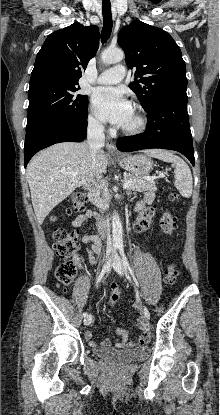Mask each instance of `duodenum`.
<instances>
[{
    "label": "duodenum",
    "mask_w": 220,
    "mask_h": 415,
    "mask_svg": "<svg viewBox=\"0 0 220 415\" xmlns=\"http://www.w3.org/2000/svg\"><path fill=\"white\" fill-rule=\"evenodd\" d=\"M85 190L88 192L89 195L93 196L96 193L97 186L96 184H90L85 187ZM97 226L99 230V237L104 239L109 234V228L106 220L104 218H98Z\"/></svg>",
    "instance_id": "duodenum-1"
}]
</instances>
